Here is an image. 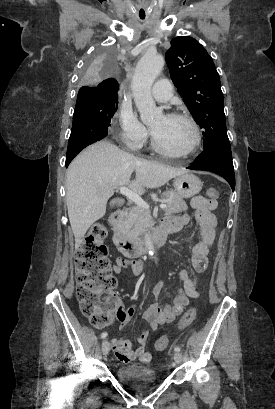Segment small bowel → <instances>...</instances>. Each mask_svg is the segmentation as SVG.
<instances>
[{"mask_svg":"<svg viewBox=\"0 0 275 409\" xmlns=\"http://www.w3.org/2000/svg\"><path fill=\"white\" fill-rule=\"evenodd\" d=\"M191 206L195 210V219L201 230V238L197 241L192 248V264L196 273H202L206 271L208 267V254L215 238V228L217 226V220L213 211L217 207V203L210 201L203 196H196L191 200ZM178 221L179 227L176 231L185 226L189 218L186 215H182L176 218H170L165 222ZM131 268L134 273L139 274L143 270V263L119 261L114 269L115 275L121 274V269ZM179 277L182 280V287L177 291L172 305H160L158 303L150 304L143 312V318L147 325L145 330L142 331L138 337V348L133 351L132 346L134 341L132 338L118 337L112 338L111 344L115 348V357L120 362H127L129 360H142L144 366H151L153 360L151 358V352L145 351L144 344L148 333L155 330L160 324L172 322L176 316L180 315L184 309L189 305L192 299L199 297L200 293L197 290V277L191 275L186 269L179 271ZM125 281V280H122ZM131 289L130 284H127ZM165 285L163 282L158 283L154 289L153 294L155 297H159ZM118 310L116 312V319L119 320V326L125 327L128 323L133 322V315L135 314V307L131 306L125 310V302H117ZM127 315V317H126Z\"/></svg>","mask_w":275,"mask_h":409,"instance_id":"obj_1","label":"small bowel"}]
</instances>
